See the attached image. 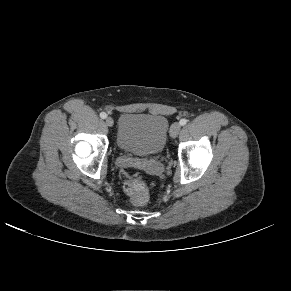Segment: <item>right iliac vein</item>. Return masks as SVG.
<instances>
[{
    "mask_svg": "<svg viewBox=\"0 0 291 291\" xmlns=\"http://www.w3.org/2000/svg\"><path fill=\"white\" fill-rule=\"evenodd\" d=\"M105 123H106L107 126L112 127L113 124H114V121H113V119L111 117H107L106 120H105Z\"/></svg>",
    "mask_w": 291,
    "mask_h": 291,
    "instance_id": "63e3f726",
    "label": "right iliac vein"
}]
</instances>
